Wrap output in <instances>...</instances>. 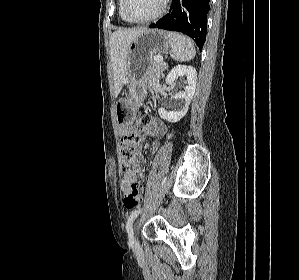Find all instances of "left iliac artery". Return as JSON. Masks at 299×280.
Segmentation results:
<instances>
[{
  "mask_svg": "<svg viewBox=\"0 0 299 280\" xmlns=\"http://www.w3.org/2000/svg\"><path fill=\"white\" fill-rule=\"evenodd\" d=\"M167 180V177H165L162 181V186L165 184ZM142 210L141 209H138V210H135L133 211L129 218H128V221H127V225H126V228H127V231L129 232L130 230H132V223L133 221L135 220V218L138 216V214L141 212Z\"/></svg>",
  "mask_w": 299,
  "mask_h": 280,
  "instance_id": "1",
  "label": "left iliac artery"
}]
</instances>
